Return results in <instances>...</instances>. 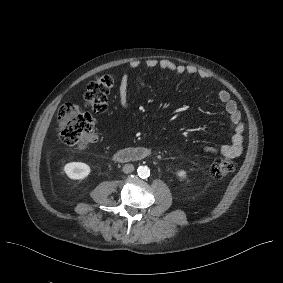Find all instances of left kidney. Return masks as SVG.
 Listing matches in <instances>:
<instances>
[{
  "instance_id": "left-kidney-1",
  "label": "left kidney",
  "mask_w": 283,
  "mask_h": 283,
  "mask_svg": "<svg viewBox=\"0 0 283 283\" xmlns=\"http://www.w3.org/2000/svg\"><path fill=\"white\" fill-rule=\"evenodd\" d=\"M177 175L182 179L186 178V172L184 170L177 171Z\"/></svg>"
}]
</instances>
